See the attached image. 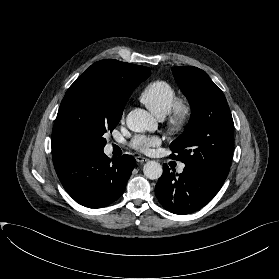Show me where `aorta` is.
<instances>
[{
    "instance_id": "762f6f07",
    "label": "aorta",
    "mask_w": 279,
    "mask_h": 279,
    "mask_svg": "<svg viewBox=\"0 0 279 279\" xmlns=\"http://www.w3.org/2000/svg\"><path fill=\"white\" fill-rule=\"evenodd\" d=\"M128 128L134 132L154 131L157 123L154 117L144 109L136 108L130 111L126 118ZM144 175L151 180H156L163 173L162 166L156 161H148L143 167Z\"/></svg>"
}]
</instances>
